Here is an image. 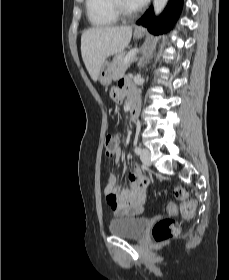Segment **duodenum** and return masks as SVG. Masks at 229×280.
<instances>
[{"instance_id": "duodenum-1", "label": "duodenum", "mask_w": 229, "mask_h": 280, "mask_svg": "<svg viewBox=\"0 0 229 280\" xmlns=\"http://www.w3.org/2000/svg\"><path fill=\"white\" fill-rule=\"evenodd\" d=\"M128 106L130 110V118L133 122H135L140 112V99L137 93L135 92L130 93Z\"/></svg>"}]
</instances>
